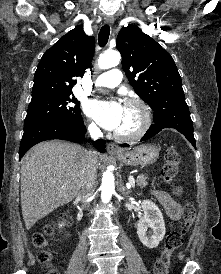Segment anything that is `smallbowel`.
Returning <instances> with one entry per match:
<instances>
[{"label":"small bowel","instance_id":"small-bowel-1","mask_svg":"<svg viewBox=\"0 0 221 274\" xmlns=\"http://www.w3.org/2000/svg\"><path fill=\"white\" fill-rule=\"evenodd\" d=\"M152 195L160 202L171 220L178 221L181 218L183 213L181 205L174 201L166 192L153 190Z\"/></svg>","mask_w":221,"mask_h":274}]
</instances>
